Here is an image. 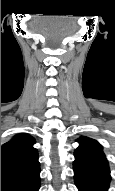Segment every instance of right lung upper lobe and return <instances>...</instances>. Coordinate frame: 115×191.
Listing matches in <instances>:
<instances>
[{
	"mask_svg": "<svg viewBox=\"0 0 115 191\" xmlns=\"http://www.w3.org/2000/svg\"><path fill=\"white\" fill-rule=\"evenodd\" d=\"M35 139L28 134L16 135L1 147V176L27 174L40 168Z\"/></svg>",
	"mask_w": 115,
	"mask_h": 191,
	"instance_id": "1",
	"label": "right lung upper lobe"
}]
</instances>
